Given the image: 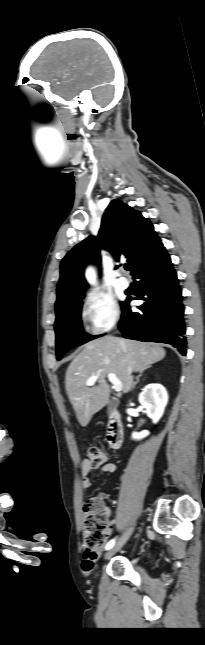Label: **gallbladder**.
<instances>
[{"label":"gallbladder","instance_id":"obj_1","mask_svg":"<svg viewBox=\"0 0 205 645\" xmlns=\"http://www.w3.org/2000/svg\"><path fill=\"white\" fill-rule=\"evenodd\" d=\"M114 408H115V403L110 402L109 405H108V412L112 411Z\"/></svg>","mask_w":205,"mask_h":645}]
</instances>
